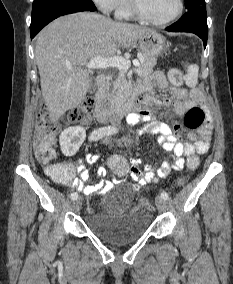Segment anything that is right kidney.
Segmentation results:
<instances>
[{"label":"right kidney","mask_w":233,"mask_h":284,"mask_svg":"<svg viewBox=\"0 0 233 284\" xmlns=\"http://www.w3.org/2000/svg\"><path fill=\"white\" fill-rule=\"evenodd\" d=\"M86 137V131L82 127H69L65 129L59 138L61 151L65 156H73L80 148Z\"/></svg>","instance_id":"ca27d5eb"}]
</instances>
